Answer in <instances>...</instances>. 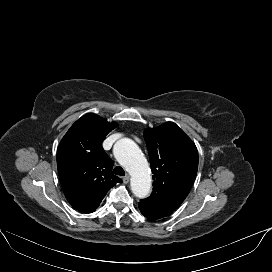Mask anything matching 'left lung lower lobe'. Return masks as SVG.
Wrapping results in <instances>:
<instances>
[{"label": "left lung lower lobe", "instance_id": "obj_1", "mask_svg": "<svg viewBox=\"0 0 272 272\" xmlns=\"http://www.w3.org/2000/svg\"><path fill=\"white\" fill-rule=\"evenodd\" d=\"M140 211H141V213H142L146 218H148V219H151V220L159 219V218H157V217H155V216H153V215H151V214H149V213H147V212H145V211H143V210H141V209H140Z\"/></svg>", "mask_w": 272, "mask_h": 272}]
</instances>
